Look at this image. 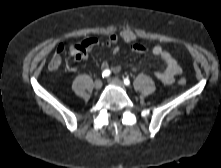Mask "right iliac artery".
I'll use <instances>...</instances> for the list:
<instances>
[{
    "instance_id": "right-iliac-artery-1",
    "label": "right iliac artery",
    "mask_w": 221,
    "mask_h": 168,
    "mask_svg": "<svg viewBox=\"0 0 221 168\" xmlns=\"http://www.w3.org/2000/svg\"><path fill=\"white\" fill-rule=\"evenodd\" d=\"M110 74H111L110 70H104V71L102 72V77H103V78L108 77Z\"/></svg>"
}]
</instances>
